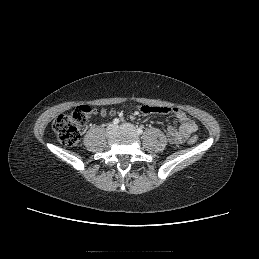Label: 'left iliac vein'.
Listing matches in <instances>:
<instances>
[{
	"label": "left iliac vein",
	"mask_w": 259,
	"mask_h": 259,
	"mask_svg": "<svg viewBox=\"0 0 259 259\" xmlns=\"http://www.w3.org/2000/svg\"><path fill=\"white\" fill-rule=\"evenodd\" d=\"M120 129L125 130V131H130V132H132L134 134H137L136 128L132 124H130V123H123V124H121L120 125Z\"/></svg>",
	"instance_id": "obj_1"
}]
</instances>
